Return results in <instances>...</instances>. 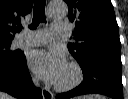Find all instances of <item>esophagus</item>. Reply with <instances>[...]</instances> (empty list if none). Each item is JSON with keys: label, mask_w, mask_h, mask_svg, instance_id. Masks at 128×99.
<instances>
[{"label": "esophagus", "mask_w": 128, "mask_h": 99, "mask_svg": "<svg viewBox=\"0 0 128 99\" xmlns=\"http://www.w3.org/2000/svg\"><path fill=\"white\" fill-rule=\"evenodd\" d=\"M43 99H53V94L47 87L42 88Z\"/></svg>", "instance_id": "esophagus-1"}]
</instances>
